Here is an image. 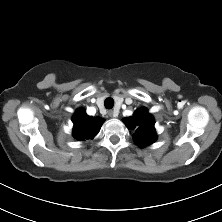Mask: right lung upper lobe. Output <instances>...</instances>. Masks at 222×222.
<instances>
[{
	"label": "right lung upper lobe",
	"mask_w": 222,
	"mask_h": 222,
	"mask_svg": "<svg viewBox=\"0 0 222 222\" xmlns=\"http://www.w3.org/2000/svg\"><path fill=\"white\" fill-rule=\"evenodd\" d=\"M73 136L78 141L93 139L99 132L104 119L88 116L85 109H78L73 115Z\"/></svg>",
	"instance_id": "right-lung-upper-lobe-1"
}]
</instances>
